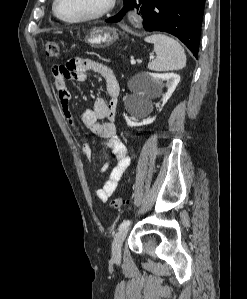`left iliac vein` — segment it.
Segmentation results:
<instances>
[{
	"label": "left iliac vein",
	"mask_w": 247,
	"mask_h": 299,
	"mask_svg": "<svg viewBox=\"0 0 247 299\" xmlns=\"http://www.w3.org/2000/svg\"><path fill=\"white\" fill-rule=\"evenodd\" d=\"M129 231V227L121 228L115 235L112 243V258L115 262H119L121 259L122 244Z\"/></svg>",
	"instance_id": "obj_1"
}]
</instances>
